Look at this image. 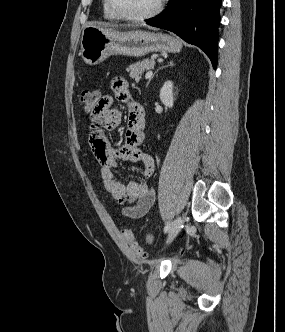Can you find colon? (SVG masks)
Returning <instances> with one entry per match:
<instances>
[{
  "label": "colon",
  "mask_w": 285,
  "mask_h": 332,
  "mask_svg": "<svg viewBox=\"0 0 285 332\" xmlns=\"http://www.w3.org/2000/svg\"><path fill=\"white\" fill-rule=\"evenodd\" d=\"M98 96H101V94L96 90H85L79 95V103L86 114H88V111L92 110V107H94V103H97ZM122 236L137 256H145L144 250L138 244L135 239L134 233L130 229L122 230Z\"/></svg>",
  "instance_id": "colon-1"
}]
</instances>
